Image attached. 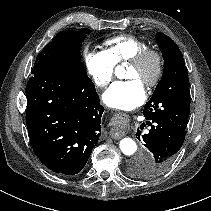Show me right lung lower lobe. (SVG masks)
Here are the masks:
<instances>
[{
	"mask_svg": "<svg viewBox=\"0 0 211 211\" xmlns=\"http://www.w3.org/2000/svg\"><path fill=\"white\" fill-rule=\"evenodd\" d=\"M26 85L32 148L50 170L79 173L101 135L104 108L91 79L56 54L38 55Z\"/></svg>",
	"mask_w": 211,
	"mask_h": 211,
	"instance_id": "98d812e1",
	"label": "right lung lower lobe"
}]
</instances>
